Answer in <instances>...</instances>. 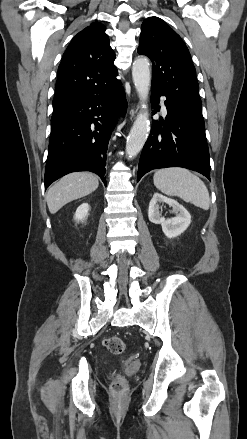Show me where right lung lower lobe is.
I'll list each match as a JSON object with an SVG mask.
<instances>
[{"label":"right lung lower lobe","instance_id":"98d812e1","mask_svg":"<svg viewBox=\"0 0 247 439\" xmlns=\"http://www.w3.org/2000/svg\"><path fill=\"white\" fill-rule=\"evenodd\" d=\"M121 83L108 91L76 101L53 113L45 169V189L58 178L76 171H91L106 185L105 165L116 116L126 112Z\"/></svg>","mask_w":247,"mask_h":439}]
</instances>
